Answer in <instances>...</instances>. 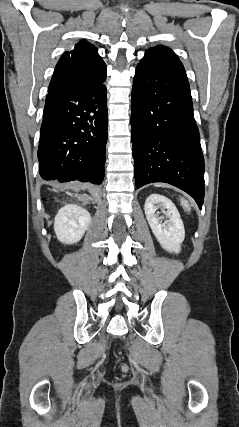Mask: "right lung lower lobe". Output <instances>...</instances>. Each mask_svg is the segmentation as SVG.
<instances>
[{"label":"right lung lower lobe","mask_w":239,"mask_h":427,"mask_svg":"<svg viewBox=\"0 0 239 427\" xmlns=\"http://www.w3.org/2000/svg\"><path fill=\"white\" fill-rule=\"evenodd\" d=\"M105 80L106 71L49 89L38 148L43 179L103 181L108 126Z\"/></svg>","instance_id":"98d812e1"}]
</instances>
